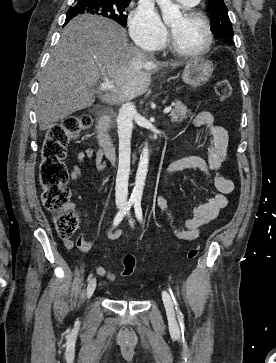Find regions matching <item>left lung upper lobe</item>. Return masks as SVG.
Returning <instances> with one entry per match:
<instances>
[{
	"mask_svg": "<svg viewBox=\"0 0 276 363\" xmlns=\"http://www.w3.org/2000/svg\"><path fill=\"white\" fill-rule=\"evenodd\" d=\"M207 11L210 14L212 25L211 31L215 38L224 37L231 41L234 32L231 21L228 16V9L223 0H211L207 5Z\"/></svg>",
	"mask_w": 276,
	"mask_h": 363,
	"instance_id": "obj_1",
	"label": "left lung upper lobe"
}]
</instances>
